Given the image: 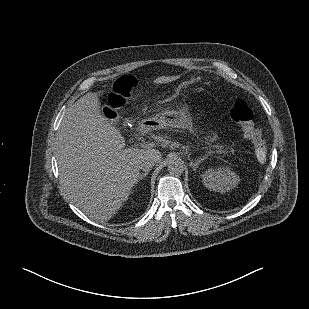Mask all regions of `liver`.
Returning <instances> with one entry per match:
<instances>
[{"label": "liver", "instance_id": "1", "mask_svg": "<svg viewBox=\"0 0 309 309\" xmlns=\"http://www.w3.org/2000/svg\"><path fill=\"white\" fill-rule=\"evenodd\" d=\"M125 148V139L103 117L99 94L87 93L70 106L57 133L60 180L86 215L110 220L138 182L144 160L161 161L155 149Z\"/></svg>", "mask_w": 309, "mask_h": 309}]
</instances>
